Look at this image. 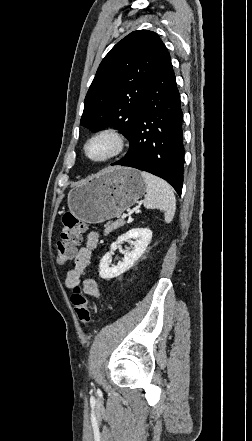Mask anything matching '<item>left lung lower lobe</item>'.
<instances>
[{
    "mask_svg": "<svg viewBox=\"0 0 252 441\" xmlns=\"http://www.w3.org/2000/svg\"><path fill=\"white\" fill-rule=\"evenodd\" d=\"M183 113L171 58L163 46L128 153L112 165L129 166L152 173L171 184L181 195L184 145Z\"/></svg>",
    "mask_w": 252,
    "mask_h": 441,
    "instance_id": "obj_1",
    "label": "left lung lower lobe"
}]
</instances>
